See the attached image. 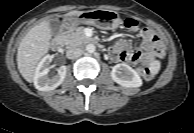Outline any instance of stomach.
<instances>
[{
  "label": "stomach",
  "instance_id": "1",
  "mask_svg": "<svg viewBox=\"0 0 194 133\" xmlns=\"http://www.w3.org/2000/svg\"><path fill=\"white\" fill-rule=\"evenodd\" d=\"M121 20L119 14L115 11L96 9L91 11H83L68 19L67 24L71 28H75L80 24L93 25L100 29L114 30Z\"/></svg>",
  "mask_w": 194,
  "mask_h": 133
}]
</instances>
